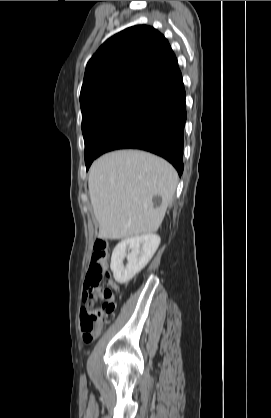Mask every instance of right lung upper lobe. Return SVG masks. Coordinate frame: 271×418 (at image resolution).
I'll return each instance as SVG.
<instances>
[{
    "label": "right lung upper lobe",
    "mask_w": 271,
    "mask_h": 418,
    "mask_svg": "<svg viewBox=\"0 0 271 418\" xmlns=\"http://www.w3.org/2000/svg\"><path fill=\"white\" fill-rule=\"evenodd\" d=\"M182 79L167 39L153 27H129L109 38L86 66L81 109L118 95L150 101Z\"/></svg>",
    "instance_id": "1"
}]
</instances>
